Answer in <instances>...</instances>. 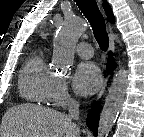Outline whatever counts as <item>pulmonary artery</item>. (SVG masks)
I'll list each match as a JSON object with an SVG mask.
<instances>
[{"instance_id": "1", "label": "pulmonary artery", "mask_w": 144, "mask_h": 137, "mask_svg": "<svg viewBox=\"0 0 144 137\" xmlns=\"http://www.w3.org/2000/svg\"><path fill=\"white\" fill-rule=\"evenodd\" d=\"M76 52L84 59H89L93 56V48L89 43L86 42L78 43L76 46Z\"/></svg>"}]
</instances>
